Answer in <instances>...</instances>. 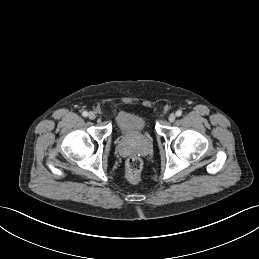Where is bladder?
Wrapping results in <instances>:
<instances>
[{
	"label": "bladder",
	"mask_w": 259,
	"mask_h": 259,
	"mask_svg": "<svg viewBox=\"0 0 259 259\" xmlns=\"http://www.w3.org/2000/svg\"><path fill=\"white\" fill-rule=\"evenodd\" d=\"M116 123L121 130L144 129L149 126L148 119L137 113L123 112L117 116Z\"/></svg>",
	"instance_id": "bladder-1"
}]
</instances>
